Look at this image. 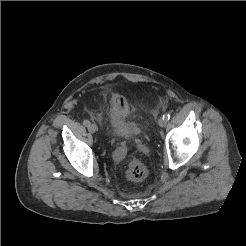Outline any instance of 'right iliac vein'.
<instances>
[{
	"label": "right iliac vein",
	"mask_w": 246,
	"mask_h": 246,
	"mask_svg": "<svg viewBox=\"0 0 246 246\" xmlns=\"http://www.w3.org/2000/svg\"><path fill=\"white\" fill-rule=\"evenodd\" d=\"M88 130H89V132H91V133H95L96 130H97V126H96L95 124H90V125L88 126Z\"/></svg>",
	"instance_id": "obj_1"
}]
</instances>
